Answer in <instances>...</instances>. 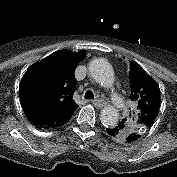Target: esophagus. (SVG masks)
<instances>
[{
	"label": "esophagus",
	"mask_w": 177,
	"mask_h": 177,
	"mask_svg": "<svg viewBox=\"0 0 177 177\" xmlns=\"http://www.w3.org/2000/svg\"><path fill=\"white\" fill-rule=\"evenodd\" d=\"M92 103L96 106V107H103L106 105V102L104 99H94L92 100Z\"/></svg>",
	"instance_id": "obj_1"
}]
</instances>
